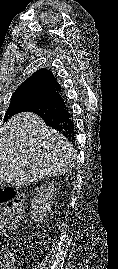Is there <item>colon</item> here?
Segmentation results:
<instances>
[{
    "label": "colon",
    "mask_w": 118,
    "mask_h": 269,
    "mask_svg": "<svg viewBox=\"0 0 118 269\" xmlns=\"http://www.w3.org/2000/svg\"><path fill=\"white\" fill-rule=\"evenodd\" d=\"M0 204L5 206L6 215L16 221L27 220V207L24 193L11 185L0 186ZM23 243L18 241L19 244ZM17 250L0 256V269H15L13 267Z\"/></svg>",
    "instance_id": "obj_1"
}]
</instances>
